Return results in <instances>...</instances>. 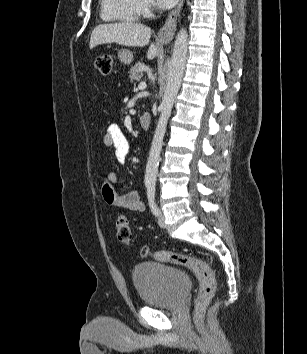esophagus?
Here are the masks:
<instances>
[{"mask_svg": "<svg viewBox=\"0 0 307 354\" xmlns=\"http://www.w3.org/2000/svg\"><path fill=\"white\" fill-rule=\"evenodd\" d=\"M184 0H179L177 7L170 12L164 25L158 32V38L161 40H170L175 32L177 17L182 9Z\"/></svg>", "mask_w": 307, "mask_h": 354, "instance_id": "obj_1", "label": "esophagus"}]
</instances>
